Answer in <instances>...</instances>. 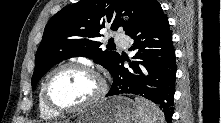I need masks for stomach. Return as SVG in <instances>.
<instances>
[{
    "label": "stomach",
    "mask_w": 221,
    "mask_h": 123,
    "mask_svg": "<svg viewBox=\"0 0 221 123\" xmlns=\"http://www.w3.org/2000/svg\"><path fill=\"white\" fill-rule=\"evenodd\" d=\"M137 104L125 96H112L76 113L65 123H137Z\"/></svg>",
    "instance_id": "obj_1"
}]
</instances>
